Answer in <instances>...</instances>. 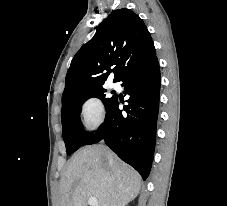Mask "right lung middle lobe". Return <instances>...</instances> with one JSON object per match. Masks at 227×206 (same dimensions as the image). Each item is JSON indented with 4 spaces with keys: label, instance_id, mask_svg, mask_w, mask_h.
Wrapping results in <instances>:
<instances>
[{
    "label": "right lung middle lobe",
    "instance_id": "1",
    "mask_svg": "<svg viewBox=\"0 0 227 206\" xmlns=\"http://www.w3.org/2000/svg\"><path fill=\"white\" fill-rule=\"evenodd\" d=\"M105 92L106 89L104 87H99L62 100L61 120L63 139L68 155H71L79 147L86 145L92 136L82 128L77 119V114L81 112L78 105L84 103L91 97H96L100 99L107 108L115 100L116 96L106 98Z\"/></svg>",
    "mask_w": 227,
    "mask_h": 206
}]
</instances>
